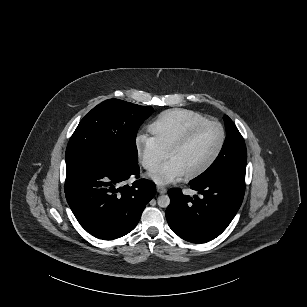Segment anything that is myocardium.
<instances>
[{
  "mask_svg": "<svg viewBox=\"0 0 307 307\" xmlns=\"http://www.w3.org/2000/svg\"><path fill=\"white\" fill-rule=\"evenodd\" d=\"M214 125L219 126L222 129V133H223L222 141H221L219 148L217 149L215 154L212 156V158L203 167H201L200 169H198L195 172H192V173L184 176L185 180H192V179H195L197 177L204 175L216 164V162L221 157V155H222V153H223V151L226 147L227 141H228V131H227L226 126L223 123L218 122V121H211V122L204 123V124L194 128L190 132H188L183 138L175 141L166 150L164 158L166 160H168V157H169L170 154L183 149L190 142H192L199 135V133L201 131H203L204 129H206L210 126H214Z\"/></svg>",
  "mask_w": 307,
  "mask_h": 307,
  "instance_id": "myocardium-1",
  "label": "myocardium"
}]
</instances>
